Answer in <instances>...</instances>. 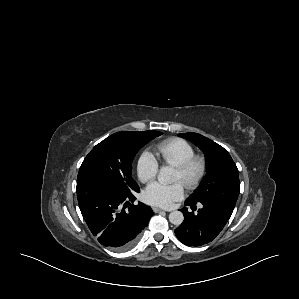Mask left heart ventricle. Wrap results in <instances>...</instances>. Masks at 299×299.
<instances>
[{
  "instance_id": "b2bd125f",
  "label": "left heart ventricle",
  "mask_w": 299,
  "mask_h": 299,
  "mask_svg": "<svg viewBox=\"0 0 299 299\" xmlns=\"http://www.w3.org/2000/svg\"><path fill=\"white\" fill-rule=\"evenodd\" d=\"M174 181H181V175L177 170L174 173Z\"/></svg>"
}]
</instances>
